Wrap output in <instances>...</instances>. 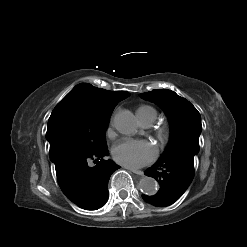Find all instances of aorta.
Segmentation results:
<instances>
[{
    "label": "aorta",
    "mask_w": 247,
    "mask_h": 247,
    "mask_svg": "<svg viewBox=\"0 0 247 247\" xmlns=\"http://www.w3.org/2000/svg\"><path fill=\"white\" fill-rule=\"evenodd\" d=\"M114 125L124 135H133L137 130V120L129 110L116 114ZM139 188L146 195H155L158 191V183L152 177H144L139 182Z\"/></svg>",
    "instance_id": "762f6f07"
}]
</instances>
